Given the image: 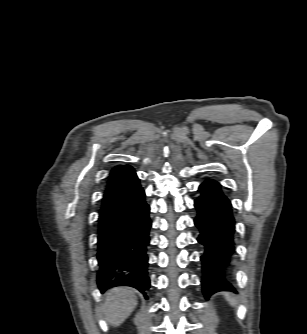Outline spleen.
<instances>
[{
  "instance_id": "obj_1",
  "label": "spleen",
  "mask_w": 307,
  "mask_h": 334,
  "mask_svg": "<svg viewBox=\"0 0 307 334\" xmlns=\"http://www.w3.org/2000/svg\"><path fill=\"white\" fill-rule=\"evenodd\" d=\"M227 299H228V301H229L230 304H232V305H235V304H236V301H235L234 298H232V297H227Z\"/></svg>"
}]
</instances>
